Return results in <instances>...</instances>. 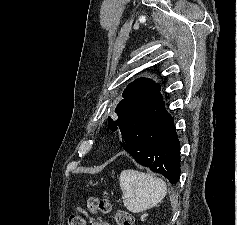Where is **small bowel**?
Masks as SVG:
<instances>
[{
  "label": "small bowel",
  "instance_id": "obj_1",
  "mask_svg": "<svg viewBox=\"0 0 237 225\" xmlns=\"http://www.w3.org/2000/svg\"><path fill=\"white\" fill-rule=\"evenodd\" d=\"M91 225H111V224L106 222V221H102L100 219H96V220H93L91 222Z\"/></svg>",
  "mask_w": 237,
  "mask_h": 225
}]
</instances>
